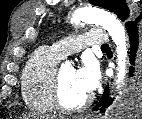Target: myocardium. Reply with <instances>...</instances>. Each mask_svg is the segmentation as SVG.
Here are the masks:
<instances>
[{"label": "myocardium", "mask_w": 142, "mask_h": 119, "mask_svg": "<svg viewBox=\"0 0 142 119\" xmlns=\"http://www.w3.org/2000/svg\"><path fill=\"white\" fill-rule=\"evenodd\" d=\"M51 98L54 108L62 113H75L84 110L91 102V96H87L83 101L74 106H66L61 98V72L56 71L52 87H51Z\"/></svg>", "instance_id": "f54148a6"}]
</instances>
